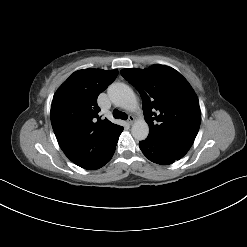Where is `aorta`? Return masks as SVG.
Returning a JSON list of instances; mask_svg holds the SVG:
<instances>
[{"label": "aorta", "instance_id": "762f6f07", "mask_svg": "<svg viewBox=\"0 0 247 247\" xmlns=\"http://www.w3.org/2000/svg\"><path fill=\"white\" fill-rule=\"evenodd\" d=\"M108 95L114 105L125 110L133 111L137 107V99L133 90L124 83H114L108 88ZM136 140H144L149 133L148 124L144 120H137L131 129Z\"/></svg>", "mask_w": 247, "mask_h": 247}]
</instances>
